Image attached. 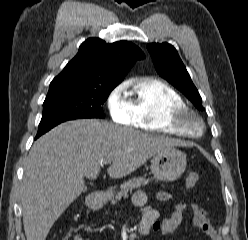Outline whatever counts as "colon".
<instances>
[{
    "instance_id": "5ec220e1",
    "label": "colon",
    "mask_w": 248,
    "mask_h": 240,
    "mask_svg": "<svg viewBox=\"0 0 248 240\" xmlns=\"http://www.w3.org/2000/svg\"><path fill=\"white\" fill-rule=\"evenodd\" d=\"M198 181V174L196 172H190L186 178V186L188 188L194 187Z\"/></svg>"
}]
</instances>
